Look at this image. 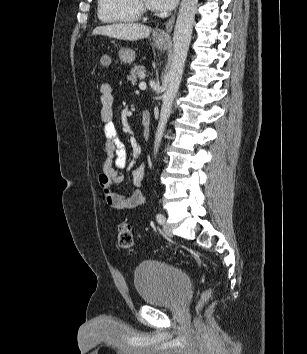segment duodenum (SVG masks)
I'll return each instance as SVG.
<instances>
[{
	"label": "duodenum",
	"instance_id": "1",
	"mask_svg": "<svg viewBox=\"0 0 307 354\" xmlns=\"http://www.w3.org/2000/svg\"><path fill=\"white\" fill-rule=\"evenodd\" d=\"M151 112L149 110H144L141 116V122L144 126H149L151 123Z\"/></svg>",
	"mask_w": 307,
	"mask_h": 354
}]
</instances>
